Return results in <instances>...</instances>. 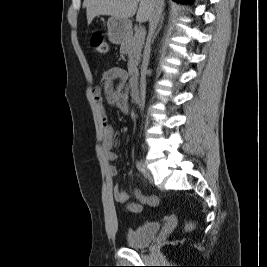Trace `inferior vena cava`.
<instances>
[{"instance_id":"602c4592","label":"inferior vena cava","mask_w":267,"mask_h":267,"mask_svg":"<svg viewBox=\"0 0 267 267\" xmlns=\"http://www.w3.org/2000/svg\"><path fill=\"white\" fill-rule=\"evenodd\" d=\"M162 5L160 2L156 5V8L149 20V32L147 36V41L144 49V56L142 62V69H141V80H140V101L139 106L141 109L144 107V100H145V89H146V73H147V66L149 63L150 58V51H151V41L154 35V32L157 28L159 23L161 13H162Z\"/></svg>"}]
</instances>
